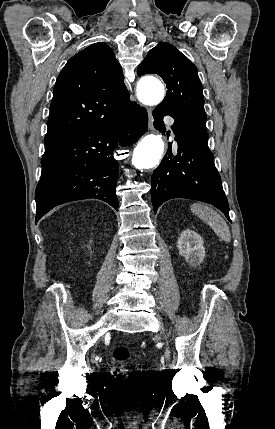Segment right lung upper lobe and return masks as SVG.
<instances>
[{"label": "right lung upper lobe", "instance_id": "1", "mask_svg": "<svg viewBox=\"0 0 275 429\" xmlns=\"http://www.w3.org/2000/svg\"><path fill=\"white\" fill-rule=\"evenodd\" d=\"M132 103L114 52L104 42L94 43L73 56L57 78L45 145L110 124Z\"/></svg>", "mask_w": 275, "mask_h": 429}]
</instances>
